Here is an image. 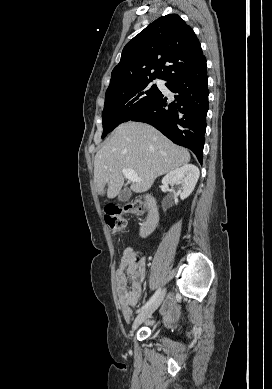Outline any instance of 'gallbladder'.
Wrapping results in <instances>:
<instances>
[{
    "label": "gallbladder",
    "mask_w": 272,
    "mask_h": 389,
    "mask_svg": "<svg viewBox=\"0 0 272 389\" xmlns=\"http://www.w3.org/2000/svg\"><path fill=\"white\" fill-rule=\"evenodd\" d=\"M131 197V190L127 187H125L122 191H120L118 195V200L121 202H126Z\"/></svg>",
    "instance_id": "gallbladder-1"
}]
</instances>
